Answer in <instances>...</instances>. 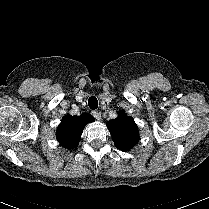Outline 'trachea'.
I'll return each instance as SVG.
<instances>
[{
    "label": "trachea",
    "instance_id": "obj_1",
    "mask_svg": "<svg viewBox=\"0 0 209 209\" xmlns=\"http://www.w3.org/2000/svg\"><path fill=\"white\" fill-rule=\"evenodd\" d=\"M88 106L92 109V110H95L97 109L98 107V100L95 96H91L89 99H88Z\"/></svg>",
    "mask_w": 209,
    "mask_h": 209
}]
</instances>
